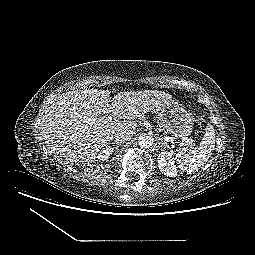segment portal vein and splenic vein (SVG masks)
I'll use <instances>...</instances> for the list:
<instances>
[{"label":"portal vein and splenic vein","instance_id":"obj_1","mask_svg":"<svg viewBox=\"0 0 255 255\" xmlns=\"http://www.w3.org/2000/svg\"><path fill=\"white\" fill-rule=\"evenodd\" d=\"M106 120L109 121V122H111V121L113 120V118H112L111 116H109V117H107ZM165 139H166L167 141H172V142L174 141V139L171 138V137H166ZM185 142L190 143L189 139H185Z\"/></svg>","mask_w":255,"mask_h":255}]
</instances>
